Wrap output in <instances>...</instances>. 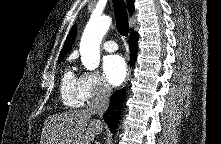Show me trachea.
I'll use <instances>...</instances> for the list:
<instances>
[{
	"mask_svg": "<svg viewBox=\"0 0 221 144\" xmlns=\"http://www.w3.org/2000/svg\"><path fill=\"white\" fill-rule=\"evenodd\" d=\"M113 7L118 32L123 37H127L129 34V25L124 0H113Z\"/></svg>",
	"mask_w": 221,
	"mask_h": 144,
	"instance_id": "1",
	"label": "trachea"
}]
</instances>
